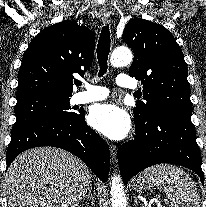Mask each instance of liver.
Instances as JSON below:
<instances>
[{
  "label": "liver",
  "mask_w": 206,
  "mask_h": 207,
  "mask_svg": "<svg viewBox=\"0 0 206 207\" xmlns=\"http://www.w3.org/2000/svg\"><path fill=\"white\" fill-rule=\"evenodd\" d=\"M93 174L74 155L51 147L20 154L4 180L8 207H77Z\"/></svg>",
  "instance_id": "1"
}]
</instances>
